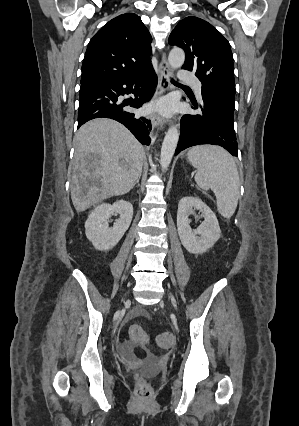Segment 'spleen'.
Masks as SVG:
<instances>
[{
	"mask_svg": "<svg viewBox=\"0 0 299 426\" xmlns=\"http://www.w3.org/2000/svg\"><path fill=\"white\" fill-rule=\"evenodd\" d=\"M188 159L197 169L195 181L203 190L211 189L218 212L230 218L239 198V175L234 159L220 147L200 145L188 151Z\"/></svg>",
	"mask_w": 299,
	"mask_h": 426,
	"instance_id": "spleen-1",
	"label": "spleen"
}]
</instances>
